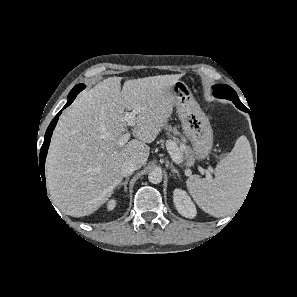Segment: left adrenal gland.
Listing matches in <instances>:
<instances>
[{
  "mask_svg": "<svg viewBox=\"0 0 297 297\" xmlns=\"http://www.w3.org/2000/svg\"><path fill=\"white\" fill-rule=\"evenodd\" d=\"M170 169L172 173L177 174L180 177L179 171L174 167L173 163L170 164Z\"/></svg>",
  "mask_w": 297,
  "mask_h": 297,
  "instance_id": "a2214340",
  "label": "left adrenal gland"
}]
</instances>
